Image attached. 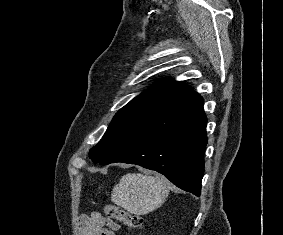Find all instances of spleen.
<instances>
[{"label":"spleen","mask_w":283,"mask_h":235,"mask_svg":"<svg viewBox=\"0 0 283 235\" xmlns=\"http://www.w3.org/2000/svg\"><path fill=\"white\" fill-rule=\"evenodd\" d=\"M168 195L165 178L129 173L114 186L111 200L132 214L145 215L159 208Z\"/></svg>","instance_id":"spleen-1"}]
</instances>
